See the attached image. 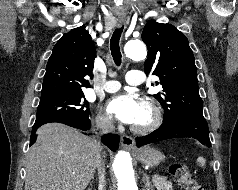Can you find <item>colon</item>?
Returning a JSON list of instances; mask_svg holds the SVG:
<instances>
[{"mask_svg": "<svg viewBox=\"0 0 238 190\" xmlns=\"http://www.w3.org/2000/svg\"><path fill=\"white\" fill-rule=\"evenodd\" d=\"M169 173L185 190H203L188 167L182 164H173L169 168Z\"/></svg>", "mask_w": 238, "mask_h": 190, "instance_id": "5ec220e1", "label": "colon"}]
</instances>
